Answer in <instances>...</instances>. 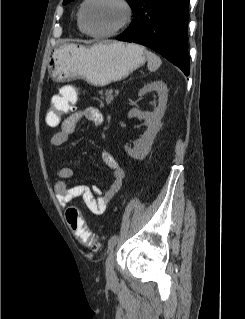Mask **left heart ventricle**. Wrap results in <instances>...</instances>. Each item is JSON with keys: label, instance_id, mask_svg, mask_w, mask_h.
Instances as JSON below:
<instances>
[{"label": "left heart ventricle", "instance_id": "1", "mask_svg": "<svg viewBox=\"0 0 245 319\" xmlns=\"http://www.w3.org/2000/svg\"><path fill=\"white\" fill-rule=\"evenodd\" d=\"M124 18L120 5L110 0H95L85 12V24L92 32H108L117 27Z\"/></svg>", "mask_w": 245, "mask_h": 319}]
</instances>
